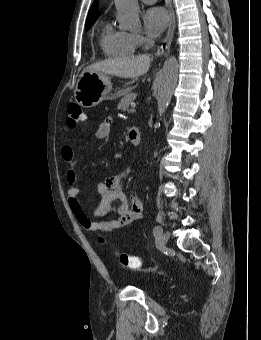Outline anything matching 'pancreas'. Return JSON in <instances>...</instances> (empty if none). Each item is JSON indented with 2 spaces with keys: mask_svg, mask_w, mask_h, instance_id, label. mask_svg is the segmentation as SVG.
Masks as SVG:
<instances>
[{
  "mask_svg": "<svg viewBox=\"0 0 261 340\" xmlns=\"http://www.w3.org/2000/svg\"><path fill=\"white\" fill-rule=\"evenodd\" d=\"M120 95L122 96L121 101L118 104V110H127L131 102L136 99V94L131 92V89H125L121 91Z\"/></svg>",
  "mask_w": 261,
  "mask_h": 340,
  "instance_id": "pancreas-1",
  "label": "pancreas"
}]
</instances>
